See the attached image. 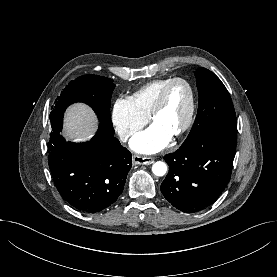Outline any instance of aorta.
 Instances as JSON below:
<instances>
[{
	"label": "aorta",
	"instance_id": "obj_1",
	"mask_svg": "<svg viewBox=\"0 0 277 277\" xmlns=\"http://www.w3.org/2000/svg\"><path fill=\"white\" fill-rule=\"evenodd\" d=\"M152 172L156 176H163L167 172V165L162 161H157L152 166Z\"/></svg>",
	"mask_w": 277,
	"mask_h": 277
}]
</instances>
